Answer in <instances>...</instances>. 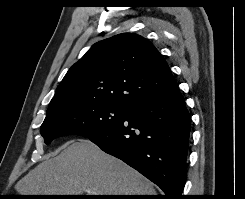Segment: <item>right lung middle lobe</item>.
Returning <instances> with one entry per match:
<instances>
[{"instance_id": "right-lung-middle-lobe-1", "label": "right lung middle lobe", "mask_w": 245, "mask_h": 199, "mask_svg": "<svg viewBox=\"0 0 245 199\" xmlns=\"http://www.w3.org/2000/svg\"><path fill=\"white\" fill-rule=\"evenodd\" d=\"M128 108L104 103L77 104L46 116L41 135L46 144L66 135L93 136L121 120Z\"/></svg>"}]
</instances>
